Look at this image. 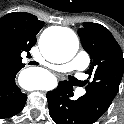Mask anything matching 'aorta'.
<instances>
[{
	"label": "aorta",
	"instance_id": "aorta-1",
	"mask_svg": "<svg viewBox=\"0 0 124 124\" xmlns=\"http://www.w3.org/2000/svg\"><path fill=\"white\" fill-rule=\"evenodd\" d=\"M79 41L76 34L66 28H61L55 35L44 33L40 39V49L43 55L50 61L65 63L71 60L77 53ZM31 70H25L20 74L22 85L28 90L39 89L38 84L28 80Z\"/></svg>",
	"mask_w": 124,
	"mask_h": 124
}]
</instances>
